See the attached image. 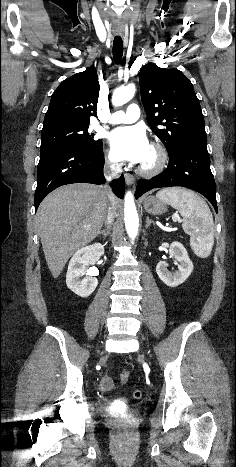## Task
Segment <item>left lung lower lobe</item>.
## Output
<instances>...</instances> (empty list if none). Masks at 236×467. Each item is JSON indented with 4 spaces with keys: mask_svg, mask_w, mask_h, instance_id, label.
I'll return each instance as SVG.
<instances>
[{
    "mask_svg": "<svg viewBox=\"0 0 236 467\" xmlns=\"http://www.w3.org/2000/svg\"><path fill=\"white\" fill-rule=\"evenodd\" d=\"M168 168L152 179H140L135 197L160 187L182 186L205 196L217 212L216 187L210 170L206 138H194L182 142L169 154Z\"/></svg>",
    "mask_w": 236,
    "mask_h": 467,
    "instance_id": "0a47b994",
    "label": "left lung lower lobe"
}]
</instances>
